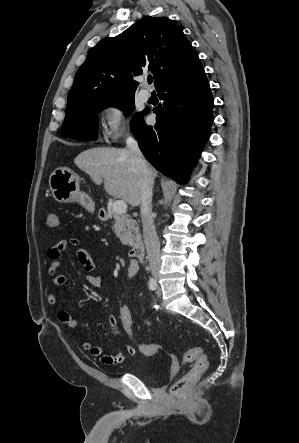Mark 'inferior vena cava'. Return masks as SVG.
<instances>
[{"label":"inferior vena cava","mask_w":299,"mask_h":443,"mask_svg":"<svg viewBox=\"0 0 299 443\" xmlns=\"http://www.w3.org/2000/svg\"><path fill=\"white\" fill-rule=\"evenodd\" d=\"M127 148L134 155V161L139 173L141 189V219L143 225L144 243L147 251L151 273L156 276L159 273L160 262V243L155 231L154 220L152 216V195L153 178L147 162L139 149L137 141L128 136L126 139Z\"/></svg>","instance_id":"inferior-vena-cava-1"}]
</instances>
